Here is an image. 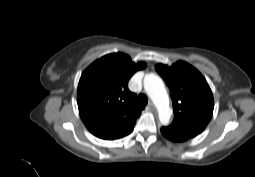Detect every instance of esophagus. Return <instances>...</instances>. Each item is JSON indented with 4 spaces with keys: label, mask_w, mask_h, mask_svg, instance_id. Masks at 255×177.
I'll use <instances>...</instances> for the list:
<instances>
[{
    "label": "esophagus",
    "mask_w": 255,
    "mask_h": 177,
    "mask_svg": "<svg viewBox=\"0 0 255 177\" xmlns=\"http://www.w3.org/2000/svg\"><path fill=\"white\" fill-rule=\"evenodd\" d=\"M147 108L152 111V110L155 109V106H154V104L152 102H149Z\"/></svg>",
    "instance_id": "34e87169"
}]
</instances>
